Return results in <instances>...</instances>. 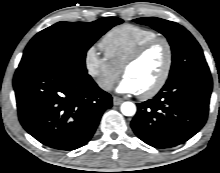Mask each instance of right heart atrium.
Returning <instances> with one entry per match:
<instances>
[{"label": "right heart atrium", "mask_w": 220, "mask_h": 173, "mask_svg": "<svg viewBox=\"0 0 220 173\" xmlns=\"http://www.w3.org/2000/svg\"><path fill=\"white\" fill-rule=\"evenodd\" d=\"M84 67L87 74L103 91H109L121 75V69L101 56L94 47L87 49L84 55Z\"/></svg>", "instance_id": "obj_1"}]
</instances>
